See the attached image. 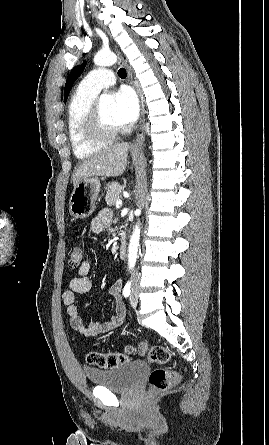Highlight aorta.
Returning <instances> with one entry per match:
<instances>
[{
  "mask_svg": "<svg viewBox=\"0 0 269 445\" xmlns=\"http://www.w3.org/2000/svg\"><path fill=\"white\" fill-rule=\"evenodd\" d=\"M116 61H117V57L111 51H107V52L100 51L94 57V63L97 66H110V65L115 64ZM113 101H114V99L111 95L102 94L99 99V105L100 106H109ZM139 239H140V227H139V225H136L134 228V231L132 233V236L130 238V242H129V246H128L129 269L133 268L136 263Z\"/></svg>",
  "mask_w": 269,
  "mask_h": 445,
  "instance_id": "obj_1",
  "label": "aorta"
}]
</instances>
